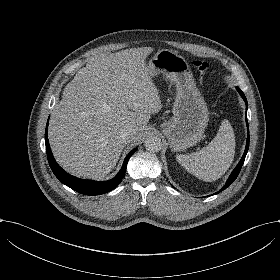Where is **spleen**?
<instances>
[{
  "mask_svg": "<svg viewBox=\"0 0 280 280\" xmlns=\"http://www.w3.org/2000/svg\"><path fill=\"white\" fill-rule=\"evenodd\" d=\"M235 135L228 120H223L215 138L199 152L176 155V160L197 178L212 182L230 167L235 155Z\"/></svg>",
  "mask_w": 280,
  "mask_h": 280,
  "instance_id": "obj_1",
  "label": "spleen"
}]
</instances>
